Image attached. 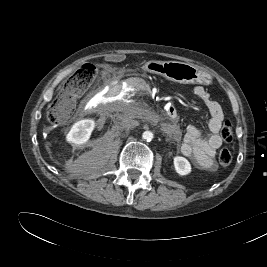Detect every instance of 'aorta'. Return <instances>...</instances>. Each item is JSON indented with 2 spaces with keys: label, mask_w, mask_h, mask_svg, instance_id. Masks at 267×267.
I'll return each mask as SVG.
<instances>
[{
  "label": "aorta",
  "mask_w": 267,
  "mask_h": 267,
  "mask_svg": "<svg viewBox=\"0 0 267 267\" xmlns=\"http://www.w3.org/2000/svg\"><path fill=\"white\" fill-rule=\"evenodd\" d=\"M142 138L147 142H150L153 139V133L151 131H144L142 134Z\"/></svg>",
  "instance_id": "1"
}]
</instances>
